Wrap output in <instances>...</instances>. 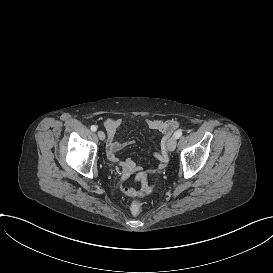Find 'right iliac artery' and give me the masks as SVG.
I'll list each match as a JSON object with an SVG mask.
<instances>
[{
    "mask_svg": "<svg viewBox=\"0 0 273 273\" xmlns=\"http://www.w3.org/2000/svg\"><path fill=\"white\" fill-rule=\"evenodd\" d=\"M91 130L95 132L97 130V127L95 125H92Z\"/></svg>",
    "mask_w": 273,
    "mask_h": 273,
    "instance_id": "82829eb1",
    "label": "right iliac artery"
}]
</instances>
